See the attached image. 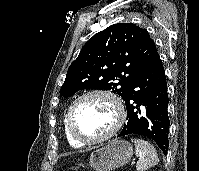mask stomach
<instances>
[{
    "label": "stomach",
    "mask_w": 199,
    "mask_h": 171,
    "mask_svg": "<svg viewBox=\"0 0 199 171\" xmlns=\"http://www.w3.org/2000/svg\"><path fill=\"white\" fill-rule=\"evenodd\" d=\"M132 154L133 147L128 141L114 140L106 146L92 151L89 165L95 171H112L127 164Z\"/></svg>",
    "instance_id": "1"
}]
</instances>
